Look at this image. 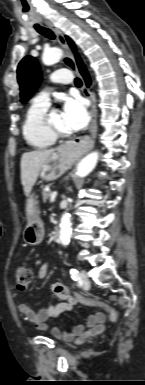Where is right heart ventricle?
<instances>
[{
  "label": "right heart ventricle",
  "mask_w": 145,
  "mask_h": 385,
  "mask_svg": "<svg viewBox=\"0 0 145 385\" xmlns=\"http://www.w3.org/2000/svg\"><path fill=\"white\" fill-rule=\"evenodd\" d=\"M48 106L33 102L27 109L21 130L25 142L33 149L41 150L52 146L55 139L45 130L43 120Z\"/></svg>",
  "instance_id": "e07e8e85"
}]
</instances>
